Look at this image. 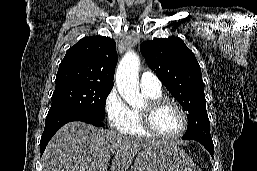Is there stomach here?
I'll return each instance as SVG.
<instances>
[{
    "instance_id": "obj_1",
    "label": "stomach",
    "mask_w": 257,
    "mask_h": 171,
    "mask_svg": "<svg viewBox=\"0 0 257 171\" xmlns=\"http://www.w3.org/2000/svg\"><path fill=\"white\" fill-rule=\"evenodd\" d=\"M134 171H195V165L175 143L157 142L138 152Z\"/></svg>"
}]
</instances>
